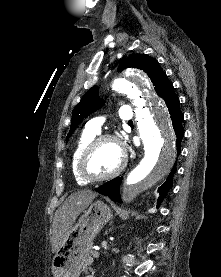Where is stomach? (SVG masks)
Returning <instances> with one entry per match:
<instances>
[{
    "label": "stomach",
    "instance_id": "stomach-1",
    "mask_svg": "<svg viewBox=\"0 0 221 277\" xmlns=\"http://www.w3.org/2000/svg\"><path fill=\"white\" fill-rule=\"evenodd\" d=\"M112 216L109 206L101 200L83 210L53 257V277H79L95 236Z\"/></svg>",
    "mask_w": 221,
    "mask_h": 277
}]
</instances>
